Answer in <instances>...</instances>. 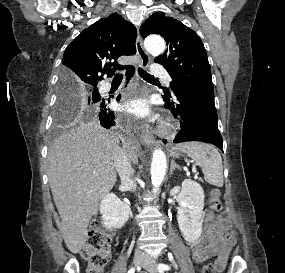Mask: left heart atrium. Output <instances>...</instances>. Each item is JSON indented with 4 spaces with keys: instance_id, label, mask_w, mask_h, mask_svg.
<instances>
[{
    "instance_id": "obj_1",
    "label": "left heart atrium",
    "mask_w": 285,
    "mask_h": 273,
    "mask_svg": "<svg viewBox=\"0 0 285 273\" xmlns=\"http://www.w3.org/2000/svg\"><path fill=\"white\" fill-rule=\"evenodd\" d=\"M127 109L137 115H145L147 113L146 106L143 101L137 100L130 103Z\"/></svg>"
}]
</instances>
